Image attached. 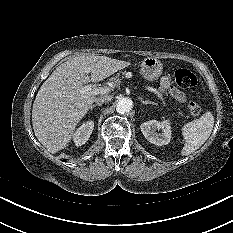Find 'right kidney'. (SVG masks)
Wrapping results in <instances>:
<instances>
[{"instance_id": "1", "label": "right kidney", "mask_w": 233, "mask_h": 233, "mask_svg": "<svg viewBox=\"0 0 233 233\" xmlns=\"http://www.w3.org/2000/svg\"><path fill=\"white\" fill-rule=\"evenodd\" d=\"M94 129V122L93 121H87L83 123L77 130L75 131L73 135V140L76 146H81L85 144L92 134V131Z\"/></svg>"}]
</instances>
